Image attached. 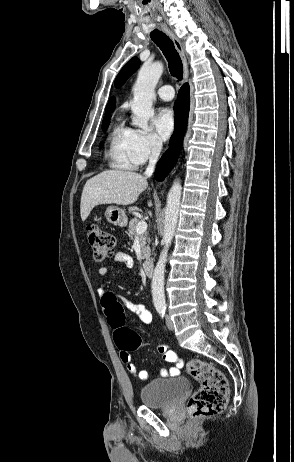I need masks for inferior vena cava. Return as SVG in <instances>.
Instances as JSON below:
<instances>
[{"mask_svg": "<svg viewBox=\"0 0 294 462\" xmlns=\"http://www.w3.org/2000/svg\"><path fill=\"white\" fill-rule=\"evenodd\" d=\"M162 149V144L158 142H154L151 146V155L149 157V164L148 167L146 168L145 175L146 176H151L152 173L154 172L156 162L158 160V157L160 155Z\"/></svg>", "mask_w": 294, "mask_h": 462, "instance_id": "obj_1", "label": "inferior vena cava"}]
</instances>
